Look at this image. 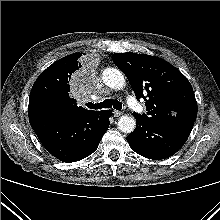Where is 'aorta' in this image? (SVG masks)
<instances>
[{"label": "aorta", "mask_w": 220, "mask_h": 220, "mask_svg": "<svg viewBox=\"0 0 220 220\" xmlns=\"http://www.w3.org/2000/svg\"><path fill=\"white\" fill-rule=\"evenodd\" d=\"M104 84L111 89L121 90L125 86V77L123 73L116 68H106L102 73ZM136 127L134 117L123 115L118 120V128L124 133H131Z\"/></svg>", "instance_id": "aorta-1"}]
</instances>
